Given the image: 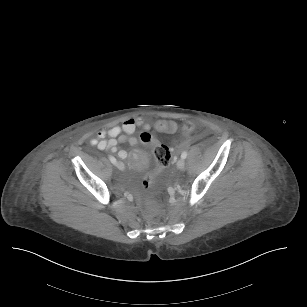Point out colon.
Wrapping results in <instances>:
<instances>
[{"label": "colon", "mask_w": 307, "mask_h": 307, "mask_svg": "<svg viewBox=\"0 0 307 307\" xmlns=\"http://www.w3.org/2000/svg\"><path fill=\"white\" fill-rule=\"evenodd\" d=\"M154 129L158 133H174L178 129V124L174 120L161 119L155 122ZM193 129V122L187 120L182 124L181 131L183 134L187 135L190 134ZM140 138L143 142L152 146L153 155L158 165L155 171H149L148 176H144L141 179L143 188L148 189L151 184L162 177L166 171L172 158V150L164 143L159 142L157 138L151 136L150 132L147 130L141 133Z\"/></svg>", "instance_id": "obj_1"}]
</instances>
